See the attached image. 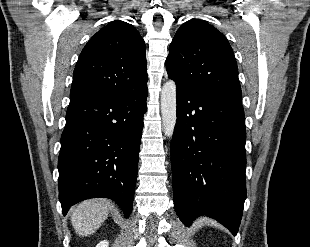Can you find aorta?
Instances as JSON below:
<instances>
[{
	"label": "aorta",
	"instance_id": "aorta-1",
	"mask_svg": "<svg viewBox=\"0 0 310 247\" xmlns=\"http://www.w3.org/2000/svg\"><path fill=\"white\" fill-rule=\"evenodd\" d=\"M161 114L164 134L171 138L176 124V84L169 80L161 90Z\"/></svg>",
	"mask_w": 310,
	"mask_h": 247
}]
</instances>
